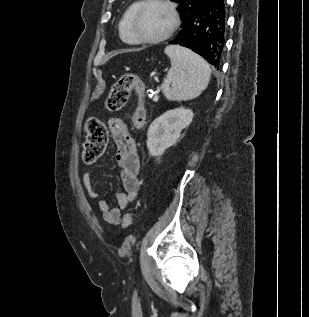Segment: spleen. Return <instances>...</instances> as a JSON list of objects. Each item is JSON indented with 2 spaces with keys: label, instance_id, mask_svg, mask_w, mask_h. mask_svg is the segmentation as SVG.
Listing matches in <instances>:
<instances>
[{
  "label": "spleen",
  "instance_id": "obj_1",
  "mask_svg": "<svg viewBox=\"0 0 309 317\" xmlns=\"http://www.w3.org/2000/svg\"><path fill=\"white\" fill-rule=\"evenodd\" d=\"M164 52L171 61V68L161 86L164 96L170 101L198 97L209 84V64L196 53L178 45H169Z\"/></svg>",
  "mask_w": 309,
  "mask_h": 317
}]
</instances>
